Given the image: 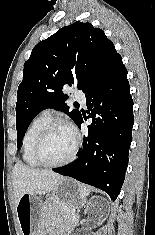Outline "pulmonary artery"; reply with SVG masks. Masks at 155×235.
Returning <instances> with one entry per match:
<instances>
[{
    "label": "pulmonary artery",
    "instance_id": "pulmonary-artery-1",
    "mask_svg": "<svg viewBox=\"0 0 155 235\" xmlns=\"http://www.w3.org/2000/svg\"><path fill=\"white\" fill-rule=\"evenodd\" d=\"M74 97L77 101L81 102V103H85V95L82 91L80 90H76L74 92ZM43 113L47 114V115H50V111L49 109H46L43 111Z\"/></svg>",
    "mask_w": 155,
    "mask_h": 235
}]
</instances>
